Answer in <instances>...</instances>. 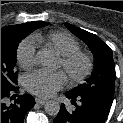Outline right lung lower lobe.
I'll return each mask as SVG.
<instances>
[{
    "label": "right lung lower lobe",
    "instance_id": "obj_1",
    "mask_svg": "<svg viewBox=\"0 0 123 123\" xmlns=\"http://www.w3.org/2000/svg\"><path fill=\"white\" fill-rule=\"evenodd\" d=\"M18 89L1 86V123H23L25 114L34 106L35 100L29 94L17 95L13 104L6 105V99Z\"/></svg>",
    "mask_w": 123,
    "mask_h": 123
}]
</instances>
